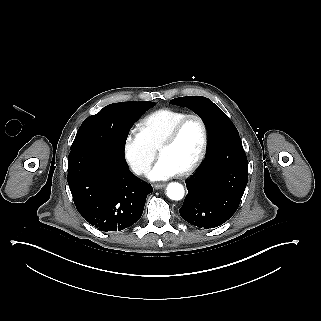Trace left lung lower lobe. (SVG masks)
Wrapping results in <instances>:
<instances>
[{
  "label": "left lung lower lobe",
  "mask_w": 321,
  "mask_h": 321,
  "mask_svg": "<svg viewBox=\"0 0 321 321\" xmlns=\"http://www.w3.org/2000/svg\"><path fill=\"white\" fill-rule=\"evenodd\" d=\"M248 182V161L240 136L208 147L197 171L186 181L188 194L179 212L188 223L210 229L237 210Z\"/></svg>",
  "instance_id": "1"
}]
</instances>
